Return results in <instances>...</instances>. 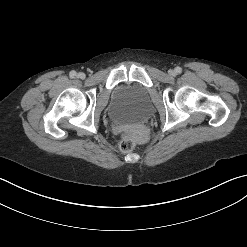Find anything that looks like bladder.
<instances>
[{
  "mask_svg": "<svg viewBox=\"0 0 247 247\" xmlns=\"http://www.w3.org/2000/svg\"><path fill=\"white\" fill-rule=\"evenodd\" d=\"M153 111L148 90L139 84L128 83L117 88L108 113L119 123H139L147 120Z\"/></svg>",
  "mask_w": 247,
  "mask_h": 247,
  "instance_id": "obj_1",
  "label": "bladder"
}]
</instances>
